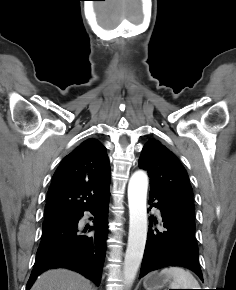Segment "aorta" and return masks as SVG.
<instances>
[{"instance_id":"obj_1","label":"aorta","mask_w":236,"mask_h":290,"mask_svg":"<svg viewBox=\"0 0 236 290\" xmlns=\"http://www.w3.org/2000/svg\"><path fill=\"white\" fill-rule=\"evenodd\" d=\"M148 177L143 171L135 172L128 184L129 234L125 253L123 279L126 288L133 284L140 267L147 238Z\"/></svg>"}]
</instances>
